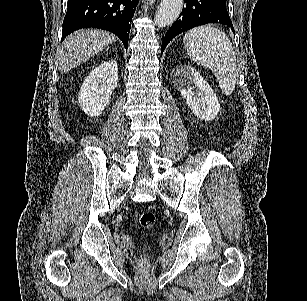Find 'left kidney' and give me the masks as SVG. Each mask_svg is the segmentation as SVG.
Masks as SVG:
<instances>
[{
    "instance_id": "5707ae66",
    "label": "left kidney",
    "mask_w": 307,
    "mask_h": 301,
    "mask_svg": "<svg viewBox=\"0 0 307 301\" xmlns=\"http://www.w3.org/2000/svg\"><path fill=\"white\" fill-rule=\"evenodd\" d=\"M173 76L174 86L180 90L193 114L203 120H213L220 110V102L200 72L189 64H180L174 68Z\"/></svg>"
}]
</instances>
